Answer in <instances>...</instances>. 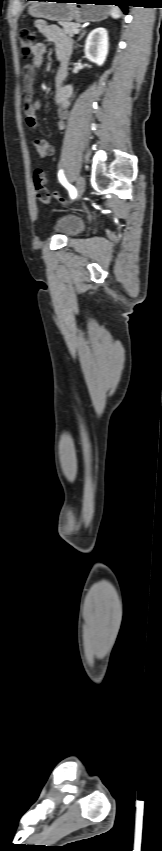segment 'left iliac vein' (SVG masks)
<instances>
[{"instance_id": "obj_1", "label": "left iliac vein", "mask_w": 162, "mask_h": 851, "mask_svg": "<svg viewBox=\"0 0 162 851\" xmlns=\"http://www.w3.org/2000/svg\"><path fill=\"white\" fill-rule=\"evenodd\" d=\"M85 179L82 176H79L76 180V191L77 196L81 197L85 191Z\"/></svg>"}]
</instances>
